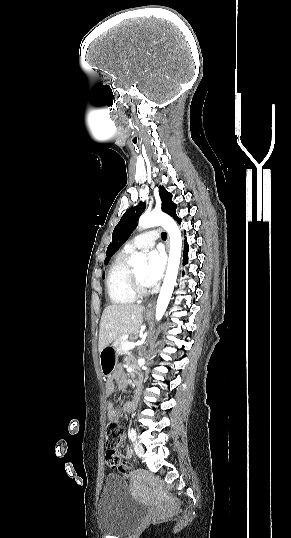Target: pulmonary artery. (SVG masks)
Returning a JSON list of instances; mask_svg holds the SVG:
<instances>
[{
	"label": "pulmonary artery",
	"instance_id": "obj_1",
	"mask_svg": "<svg viewBox=\"0 0 291 538\" xmlns=\"http://www.w3.org/2000/svg\"><path fill=\"white\" fill-rule=\"evenodd\" d=\"M158 238L159 233L157 230L147 231L129 241L125 245V248L131 252L135 250H148L155 245Z\"/></svg>",
	"mask_w": 291,
	"mask_h": 538
}]
</instances>
